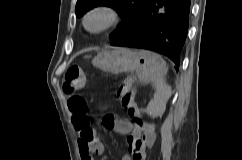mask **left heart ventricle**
<instances>
[{"mask_svg": "<svg viewBox=\"0 0 242 160\" xmlns=\"http://www.w3.org/2000/svg\"><path fill=\"white\" fill-rule=\"evenodd\" d=\"M106 21V15L103 13H98L93 15L89 20V26L92 29H97L101 27Z\"/></svg>", "mask_w": 242, "mask_h": 160, "instance_id": "obj_1", "label": "left heart ventricle"}]
</instances>
